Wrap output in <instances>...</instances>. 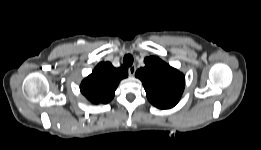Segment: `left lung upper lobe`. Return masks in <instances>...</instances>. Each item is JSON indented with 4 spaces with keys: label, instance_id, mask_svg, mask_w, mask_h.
<instances>
[{
    "label": "left lung upper lobe",
    "instance_id": "obj_1",
    "mask_svg": "<svg viewBox=\"0 0 261 150\" xmlns=\"http://www.w3.org/2000/svg\"><path fill=\"white\" fill-rule=\"evenodd\" d=\"M145 67L136 71L145 88L148 100L157 108L170 109L181 98L185 76L158 57L144 59Z\"/></svg>",
    "mask_w": 261,
    "mask_h": 150
}]
</instances>
